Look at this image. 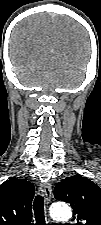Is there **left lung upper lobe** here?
I'll use <instances>...</instances> for the list:
<instances>
[{
    "instance_id": "left-lung-upper-lobe-1",
    "label": "left lung upper lobe",
    "mask_w": 101,
    "mask_h": 225,
    "mask_svg": "<svg viewBox=\"0 0 101 225\" xmlns=\"http://www.w3.org/2000/svg\"><path fill=\"white\" fill-rule=\"evenodd\" d=\"M54 196L72 206L74 225H101V188L89 179L67 177L57 184Z\"/></svg>"
}]
</instances>
